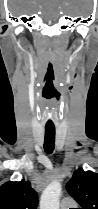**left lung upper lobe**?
<instances>
[{"mask_svg": "<svg viewBox=\"0 0 98 209\" xmlns=\"http://www.w3.org/2000/svg\"><path fill=\"white\" fill-rule=\"evenodd\" d=\"M66 190L82 207L81 209H98V174L76 170L66 184Z\"/></svg>", "mask_w": 98, "mask_h": 209, "instance_id": "5c2ea615", "label": "left lung upper lobe"}]
</instances>
